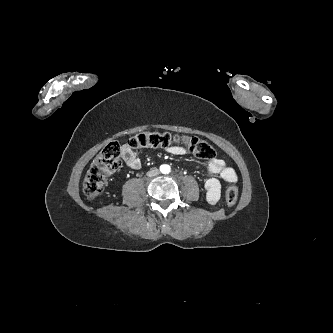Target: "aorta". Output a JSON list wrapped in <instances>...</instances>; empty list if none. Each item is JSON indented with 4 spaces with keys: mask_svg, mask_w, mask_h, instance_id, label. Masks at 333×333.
Returning <instances> with one entry per match:
<instances>
[{
    "mask_svg": "<svg viewBox=\"0 0 333 333\" xmlns=\"http://www.w3.org/2000/svg\"><path fill=\"white\" fill-rule=\"evenodd\" d=\"M162 172L163 173H169L170 172V167L169 166H163L162 167Z\"/></svg>",
    "mask_w": 333,
    "mask_h": 333,
    "instance_id": "obj_1",
    "label": "aorta"
}]
</instances>
